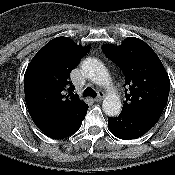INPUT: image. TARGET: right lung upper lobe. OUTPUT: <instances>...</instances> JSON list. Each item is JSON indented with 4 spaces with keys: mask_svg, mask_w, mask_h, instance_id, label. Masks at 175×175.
I'll list each match as a JSON object with an SVG mask.
<instances>
[{
    "mask_svg": "<svg viewBox=\"0 0 175 175\" xmlns=\"http://www.w3.org/2000/svg\"><path fill=\"white\" fill-rule=\"evenodd\" d=\"M90 50L66 37L48 42L33 57L24 75L29 114L36 125L53 117H76L88 109L70 82V73Z\"/></svg>",
    "mask_w": 175,
    "mask_h": 175,
    "instance_id": "1",
    "label": "right lung upper lobe"
}]
</instances>
